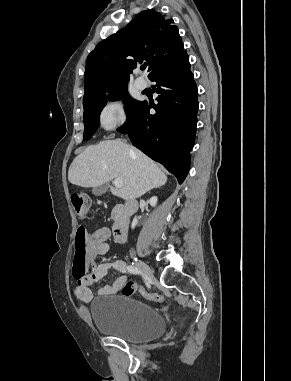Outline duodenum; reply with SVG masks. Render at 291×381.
Returning a JSON list of instances; mask_svg holds the SVG:
<instances>
[{
    "label": "duodenum",
    "instance_id": "410a0bca",
    "mask_svg": "<svg viewBox=\"0 0 291 381\" xmlns=\"http://www.w3.org/2000/svg\"><path fill=\"white\" fill-rule=\"evenodd\" d=\"M137 209V202L133 199L126 200L117 210V218L112 231L118 243L126 241L128 233V218Z\"/></svg>",
    "mask_w": 291,
    "mask_h": 381
}]
</instances>
